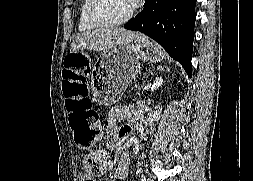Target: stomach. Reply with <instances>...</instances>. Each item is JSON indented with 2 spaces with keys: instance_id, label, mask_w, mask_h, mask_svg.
Masks as SVG:
<instances>
[{
  "instance_id": "obj_1",
  "label": "stomach",
  "mask_w": 253,
  "mask_h": 181,
  "mask_svg": "<svg viewBox=\"0 0 253 181\" xmlns=\"http://www.w3.org/2000/svg\"><path fill=\"white\" fill-rule=\"evenodd\" d=\"M162 49L144 36L116 45L97 59L92 77L96 100L105 106L117 102L139 73V60L156 63L164 59Z\"/></svg>"
}]
</instances>
